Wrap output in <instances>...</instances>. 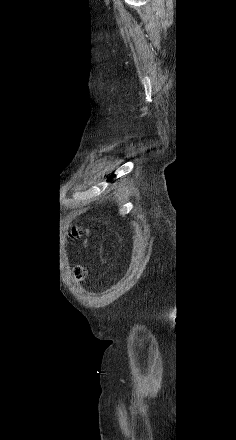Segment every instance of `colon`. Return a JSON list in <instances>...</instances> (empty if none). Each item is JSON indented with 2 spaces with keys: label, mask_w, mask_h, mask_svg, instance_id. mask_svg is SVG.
Returning a JSON list of instances; mask_svg holds the SVG:
<instances>
[{
  "label": "colon",
  "mask_w": 236,
  "mask_h": 440,
  "mask_svg": "<svg viewBox=\"0 0 236 440\" xmlns=\"http://www.w3.org/2000/svg\"><path fill=\"white\" fill-rule=\"evenodd\" d=\"M80 233H81V231L79 229H76L73 231V235H75V236L79 235ZM75 275L78 279L82 280L85 278L86 270L83 267L78 266L75 269Z\"/></svg>",
  "instance_id": "obj_1"
}]
</instances>
